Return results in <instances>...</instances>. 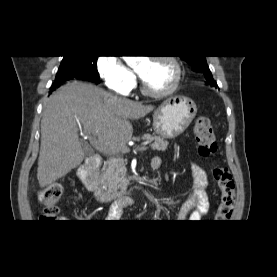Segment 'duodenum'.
<instances>
[{"label": "duodenum", "mask_w": 277, "mask_h": 277, "mask_svg": "<svg viewBox=\"0 0 277 277\" xmlns=\"http://www.w3.org/2000/svg\"><path fill=\"white\" fill-rule=\"evenodd\" d=\"M100 163L101 161L97 156L89 157L86 162L79 167L78 177L87 191L94 193L99 202H105L109 198V195L96 176ZM122 201L127 205L131 203L128 196H124Z\"/></svg>", "instance_id": "duodenum-1"}]
</instances>
